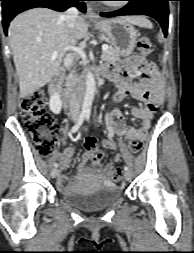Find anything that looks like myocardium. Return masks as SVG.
I'll use <instances>...</instances> for the list:
<instances>
[{
  "mask_svg": "<svg viewBox=\"0 0 194 253\" xmlns=\"http://www.w3.org/2000/svg\"><path fill=\"white\" fill-rule=\"evenodd\" d=\"M124 5H125L124 1H116V2L108 3V6H110L112 8H116V9H120V8L124 7Z\"/></svg>",
  "mask_w": 194,
  "mask_h": 253,
  "instance_id": "obj_1",
  "label": "myocardium"
}]
</instances>
